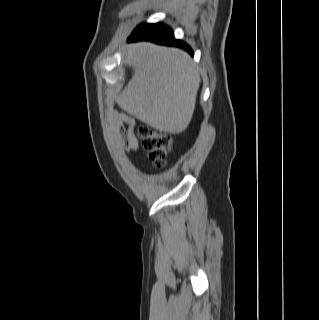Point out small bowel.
Masks as SVG:
<instances>
[{
  "label": "small bowel",
  "mask_w": 319,
  "mask_h": 320,
  "mask_svg": "<svg viewBox=\"0 0 319 320\" xmlns=\"http://www.w3.org/2000/svg\"><path fill=\"white\" fill-rule=\"evenodd\" d=\"M116 130L124 140L126 150L131 155H136L139 152V142L134 132V121L126 114H120L114 119ZM126 127H122V125Z\"/></svg>",
  "instance_id": "c3829d8e"
}]
</instances>
